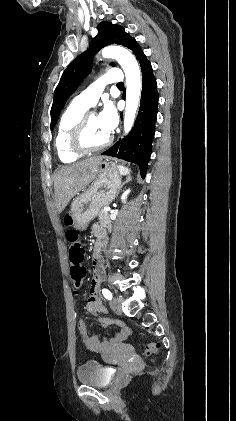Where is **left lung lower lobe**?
<instances>
[{"mask_svg": "<svg viewBox=\"0 0 236 421\" xmlns=\"http://www.w3.org/2000/svg\"><path fill=\"white\" fill-rule=\"evenodd\" d=\"M133 53L136 55L142 71V93L137 119L129 135L123 140H119L102 155L117 157L137 164L142 178H145L152 151L151 143L155 134L158 93L152 66L144 52L137 46Z\"/></svg>", "mask_w": 236, "mask_h": 421, "instance_id": "0a47b994", "label": "left lung lower lobe"}]
</instances>
